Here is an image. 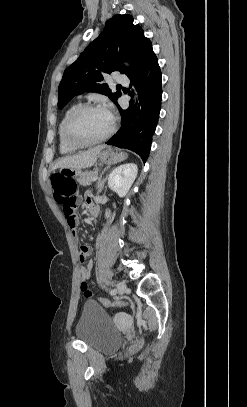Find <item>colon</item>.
Wrapping results in <instances>:
<instances>
[{"label":"colon","instance_id":"colon-1","mask_svg":"<svg viewBox=\"0 0 247 407\" xmlns=\"http://www.w3.org/2000/svg\"><path fill=\"white\" fill-rule=\"evenodd\" d=\"M51 184L53 188V195L57 203L61 204L66 202L70 197L76 193V183L73 180L67 179L61 174H56L51 177ZM81 291L85 298L90 299L93 297V293L88 287L86 281L81 283ZM99 302L105 307H119L126 305L124 302L109 300L105 298L98 299Z\"/></svg>","mask_w":247,"mask_h":407}]
</instances>
